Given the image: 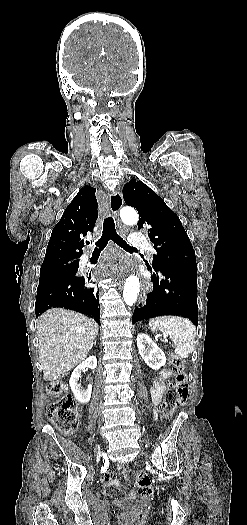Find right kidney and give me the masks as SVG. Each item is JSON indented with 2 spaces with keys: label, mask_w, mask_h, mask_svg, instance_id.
<instances>
[{
  "label": "right kidney",
  "mask_w": 247,
  "mask_h": 525,
  "mask_svg": "<svg viewBox=\"0 0 247 525\" xmlns=\"http://www.w3.org/2000/svg\"><path fill=\"white\" fill-rule=\"evenodd\" d=\"M86 367H89V369H96L97 367L96 357H88L86 361H83V363H80V365H78V367L74 369L69 379V385L71 387V391L73 395H75L77 401L81 403V405H87V403H89L91 393H92V385H88V389H86V391H84L81 385H79V379H81V375L84 369H86Z\"/></svg>",
  "instance_id": "right-kidney-1"
}]
</instances>
